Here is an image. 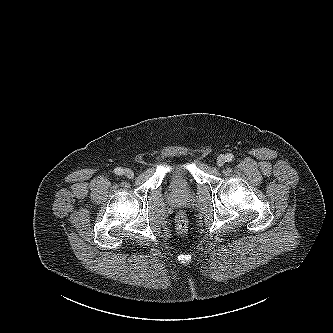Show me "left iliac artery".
<instances>
[{"mask_svg": "<svg viewBox=\"0 0 333 333\" xmlns=\"http://www.w3.org/2000/svg\"><path fill=\"white\" fill-rule=\"evenodd\" d=\"M225 157L227 162H231L234 159V156L231 153H228Z\"/></svg>", "mask_w": 333, "mask_h": 333, "instance_id": "left-iliac-artery-1", "label": "left iliac artery"}]
</instances>
